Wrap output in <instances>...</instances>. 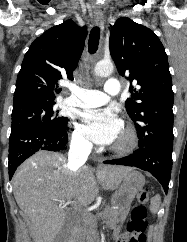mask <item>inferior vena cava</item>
I'll return each instance as SVG.
<instances>
[{"mask_svg": "<svg viewBox=\"0 0 187 242\" xmlns=\"http://www.w3.org/2000/svg\"><path fill=\"white\" fill-rule=\"evenodd\" d=\"M91 151V144L85 140L74 141L70 145L68 153V168L72 172H76L87 160Z\"/></svg>", "mask_w": 187, "mask_h": 242, "instance_id": "inferior-vena-cava-1", "label": "inferior vena cava"}]
</instances>
